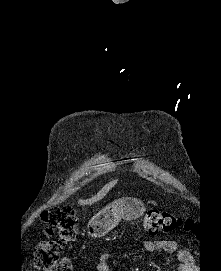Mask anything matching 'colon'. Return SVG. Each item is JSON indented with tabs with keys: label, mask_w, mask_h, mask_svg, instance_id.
<instances>
[{
	"label": "colon",
	"mask_w": 221,
	"mask_h": 271,
	"mask_svg": "<svg viewBox=\"0 0 221 271\" xmlns=\"http://www.w3.org/2000/svg\"><path fill=\"white\" fill-rule=\"evenodd\" d=\"M41 219L49 225L47 229L49 237L34 248L33 254L38 271H73L69 259L61 258L60 253L68 242L74 241L78 236L77 214L68 205L53 206L43 210ZM143 224L149 234L194 228L192 220L155 208L147 211Z\"/></svg>",
	"instance_id": "obj_1"
}]
</instances>
